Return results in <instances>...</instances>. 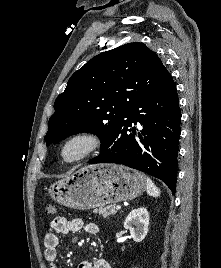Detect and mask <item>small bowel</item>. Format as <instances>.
<instances>
[{
	"label": "small bowel",
	"instance_id": "small-bowel-1",
	"mask_svg": "<svg viewBox=\"0 0 221 268\" xmlns=\"http://www.w3.org/2000/svg\"><path fill=\"white\" fill-rule=\"evenodd\" d=\"M81 230L89 234L97 235L99 227L94 223H85L81 218L67 219L65 217H55L50 222V231L44 238V256L49 264V268H61L58 263V234L76 233ZM78 268H112L108 261L103 258L97 259L94 263L83 261Z\"/></svg>",
	"mask_w": 221,
	"mask_h": 268
}]
</instances>
